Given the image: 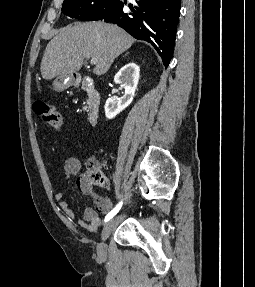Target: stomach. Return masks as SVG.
<instances>
[{"label": "stomach", "instance_id": "1", "mask_svg": "<svg viewBox=\"0 0 255 287\" xmlns=\"http://www.w3.org/2000/svg\"><path fill=\"white\" fill-rule=\"evenodd\" d=\"M69 86H73V80L71 74H64V76H58L53 82V90L55 92H63L67 90Z\"/></svg>", "mask_w": 255, "mask_h": 287}]
</instances>
